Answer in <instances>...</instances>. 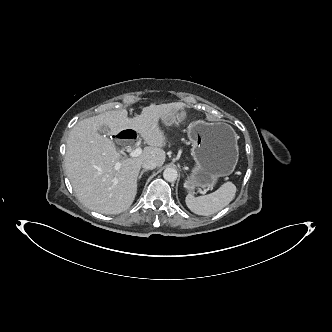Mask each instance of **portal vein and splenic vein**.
<instances>
[{"label":"portal vein and splenic vein","mask_w":332,"mask_h":332,"mask_svg":"<svg viewBox=\"0 0 332 332\" xmlns=\"http://www.w3.org/2000/svg\"><path fill=\"white\" fill-rule=\"evenodd\" d=\"M142 154V149L140 147L136 148V149H133L130 153H129V156L130 157H138ZM121 167V163L120 162H117L114 166V168L116 170H119Z\"/></svg>","instance_id":"portal-vein-and-splenic-vein-1"}]
</instances>
